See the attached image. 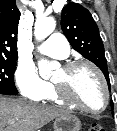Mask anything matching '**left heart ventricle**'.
<instances>
[{
    "mask_svg": "<svg viewBox=\"0 0 117 131\" xmlns=\"http://www.w3.org/2000/svg\"><path fill=\"white\" fill-rule=\"evenodd\" d=\"M53 80L65 83L70 94L87 108L98 110L102 107L103 89L98 77L90 68L80 66L69 73L60 68Z\"/></svg>",
    "mask_w": 117,
    "mask_h": 131,
    "instance_id": "b2bd125f",
    "label": "left heart ventricle"
}]
</instances>
